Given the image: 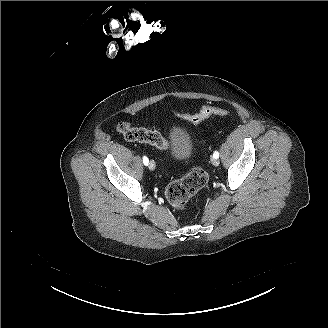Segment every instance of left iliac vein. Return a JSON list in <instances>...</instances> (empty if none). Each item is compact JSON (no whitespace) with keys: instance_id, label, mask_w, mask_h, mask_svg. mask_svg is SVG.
<instances>
[{"instance_id":"left-iliac-vein-1","label":"left iliac vein","mask_w":328,"mask_h":328,"mask_svg":"<svg viewBox=\"0 0 328 328\" xmlns=\"http://www.w3.org/2000/svg\"><path fill=\"white\" fill-rule=\"evenodd\" d=\"M212 164L214 165V166H218L219 165V160L217 159V158H212Z\"/></svg>"}]
</instances>
